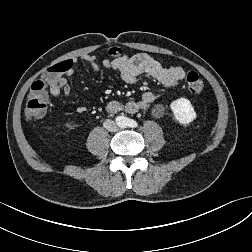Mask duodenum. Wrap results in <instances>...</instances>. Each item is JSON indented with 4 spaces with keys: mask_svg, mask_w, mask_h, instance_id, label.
Instances as JSON below:
<instances>
[{
    "mask_svg": "<svg viewBox=\"0 0 252 252\" xmlns=\"http://www.w3.org/2000/svg\"><path fill=\"white\" fill-rule=\"evenodd\" d=\"M106 110L110 113H115L121 110V107L116 103H110L107 105Z\"/></svg>",
    "mask_w": 252,
    "mask_h": 252,
    "instance_id": "obj_1",
    "label": "duodenum"
}]
</instances>
